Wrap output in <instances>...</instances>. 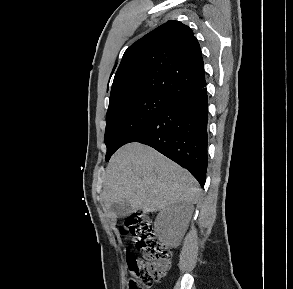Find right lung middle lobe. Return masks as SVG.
I'll use <instances>...</instances> for the list:
<instances>
[{
    "label": "right lung middle lobe",
    "instance_id": "dd1d6c3e",
    "mask_svg": "<svg viewBox=\"0 0 293 289\" xmlns=\"http://www.w3.org/2000/svg\"><path fill=\"white\" fill-rule=\"evenodd\" d=\"M172 103L168 98L155 95L128 97L110 105L107 111L105 144L108 161L111 155L144 125Z\"/></svg>",
    "mask_w": 293,
    "mask_h": 289
}]
</instances>
